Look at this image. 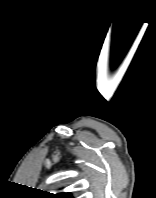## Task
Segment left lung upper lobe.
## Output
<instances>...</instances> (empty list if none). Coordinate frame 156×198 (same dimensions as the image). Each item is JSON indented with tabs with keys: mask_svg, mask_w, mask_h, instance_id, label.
<instances>
[{
	"mask_svg": "<svg viewBox=\"0 0 156 198\" xmlns=\"http://www.w3.org/2000/svg\"><path fill=\"white\" fill-rule=\"evenodd\" d=\"M48 197H50V198H72L70 193H57V194L49 193Z\"/></svg>",
	"mask_w": 156,
	"mask_h": 198,
	"instance_id": "1",
	"label": "left lung upper lobe"
}]
</instances>
